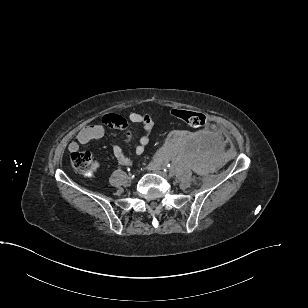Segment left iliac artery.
Returning a JSON list of instances; mask_svg holds the SVG:
<instances>
[{
  "instance_id": "44dca946",
  "label": "left iliac artery",
  "mask_w": 308,
  "mask_h": 308,
  "mask_svg": "<svg viewBox=\"0 0 308 308\" xmlns=\"http://www.w3.org/2000/svg\"><path fill=\"white\" fill-rule=\"evenodd\" d=\"M172 167H173L172 165L167 164L166 166L163 167V170L167 171V169H172Z\"/></svg>"
}]
</instances>
